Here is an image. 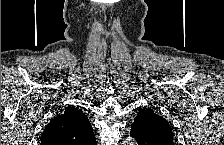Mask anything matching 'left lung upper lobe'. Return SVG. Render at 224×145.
Here are the masks:
<instances>
[{
  "instance_id": "obj_1",
  "label": "left lung upper lobe",
  "mask_w": 224,
  "mask_h": 145,
  "mask_svg": "<svg viewBox=\"0 0 224 145\" xmlns=\"http://www.w3.org/2000/svg\"><path fill=\"white\" fill-rule=\"evenodd\" d=\"M139 114L145 118L152 133H154L167 145H174L173 132L167 120L163 119L149 108L141 110L138 115Z\"/></svg>"
}]
</instances>
